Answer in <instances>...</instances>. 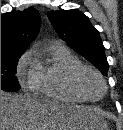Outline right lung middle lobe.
<instances>
[{"mask_svg": "<svg viewBox=\"0 0 123 130\" xmlns=\"http://www.w3.org/2000/svg\"><path fill=\"white\" fill-rule=\"evenodd\" d=\"M22 54L1 55V90L17 91L20 89L15 73L18 60Z\"/></svg>", "mask_w": 123, "mask_h": 130, "instance_id": "obj_1", "label": "right lung middle lobe"}]
</instances>
